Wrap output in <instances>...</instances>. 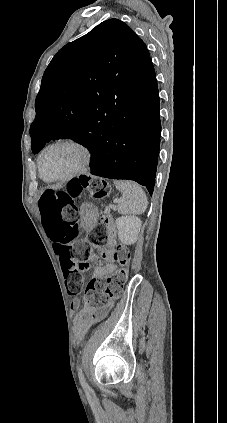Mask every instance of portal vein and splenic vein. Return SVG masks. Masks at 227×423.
Returning <instances> with one entry per match:
<instances>
[{
    "label": "portal vein and splenic vein",
    "instance_id": "18ae733b",
    "mask_svg": "<svg viewBox=\"0 0 227 423\" xmlns=\"http://www.w3.org/2000/svg\"><path fill=\"white\" fill-rule=\"evenodd\" d=\"M122 203V200L121 199H114L113 200V202H112V206H111V209L112 210H115L116 209V204H121Z\"/></svg>",
    "mask_w": 227,
    "mask_h": 423
}]
</instances>
